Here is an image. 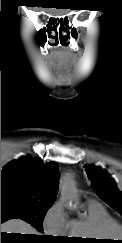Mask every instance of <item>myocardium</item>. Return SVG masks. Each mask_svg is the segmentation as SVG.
Masks as SVG:
<instances>
[{
  "label": "myocardium",
  "mask_w": 122,
  "mask_h": 243,
  "mask_svg": "<svg viewBox=\"0 0 122 243\" xmlns=\"http://www.w3.org/2000/svg\"><path fill=\"white\" fill-rule=\"evenodd\" d=\"M106 235L109 237L122 236V225L112 222L106 226Z\"/></svg>",
  "instance_id": "obj_1"
}]
</instances>
